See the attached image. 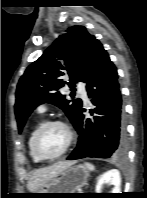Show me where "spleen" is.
<instances>
[{"mask_svg": "<svg viewBox=\"0 0 147 198\" xmlns=\"http://www.w3.org/2000/svg\"><path fill=\"white\" fill-rule=\"evenodd\" d=\"M85 166L91 171L95 170V166L91 163H85Z\"/></svg>", "mask_w": 147, "mask_h": 198, "instance_id": "3e777b00", "label": "spleen"}]
</instances>
